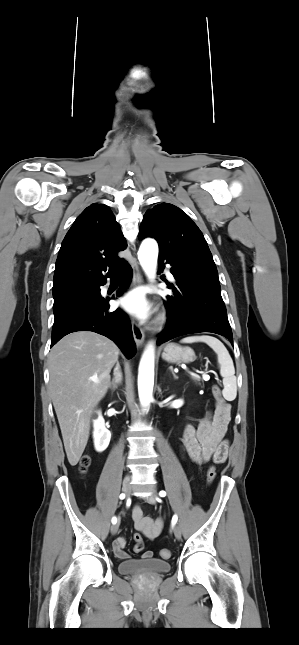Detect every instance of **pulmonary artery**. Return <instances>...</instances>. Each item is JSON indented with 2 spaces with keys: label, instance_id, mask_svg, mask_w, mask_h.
Instances as JSON below:
<instances>
[{
  "label": "pulmonary artery",
  "instance_id": "e3ab8cb5",
  "mask_svg": "<svg viewBox=\"0 0 299 645\" xmlns=\"http://www.w3.org/2000/svg\"><path fill=\"white\" fill-rule=\"evenodd\" d=\"M166 274L170 279H173V275L169 270L166 271Z\"/></svg>",
  "mask_w": 299,
  "mask_h": 645
}]
</instances>
